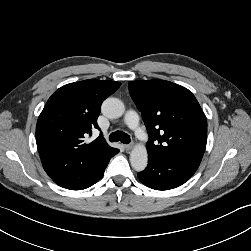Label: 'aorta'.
<instances>
[{"mask_svg":"<svg viewBox=\"0 0 251 251\" xmlns=\"http://www.w3.org/2000/svg\"><path fill=\"white\" fill-rule=\"evenodd\" d=\"M125 106L123 102L114 97L107 98L102 103V113L111 119L119 118L124 114ZM148 162V153L144 145H136L130 154V163L131 166L136 171H143Z\"/></svg>","mask_w":251,"mask_h":251,"instance_id":"aorta-1","label":"aorta"}]
</instances>
